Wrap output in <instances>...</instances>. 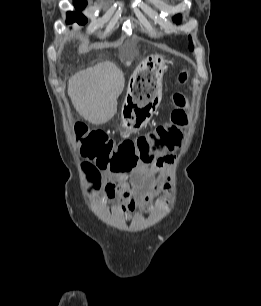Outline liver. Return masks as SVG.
<instances>
[{"label": "liver", "instance_id": "1", "mask_svg": "<svg viewBox=\"0 0 261 306\" xmlns=\"http://www.w3.org/2000/svg\"><path fill=\"white\" fill-rule=\"evenodd\" d=\"M124 85L122 71L107 61L74 74L68 82V95L85 120L104 124L117 112V98Z\"/></svg>", "mask_w": 261, "mask_h": 306}]
</instances>
